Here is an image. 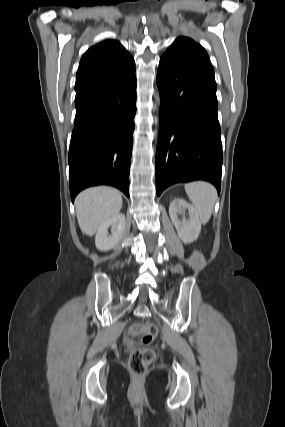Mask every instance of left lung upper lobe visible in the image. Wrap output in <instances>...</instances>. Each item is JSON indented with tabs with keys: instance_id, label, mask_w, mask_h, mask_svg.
Returning a JSON list of instances; mask_svg holds the SVG:
<instances>
[{
	"instance_id": "1",
	"label": "left lung upper lobe",
	"mask_w": 285,
	"mask_h": 427,
	"mask_svg": "<svg viewBox=\"0 0 285 427\" xmlns=\"http://www.w3.org/2000/svg\"><path fill=\"white\" fill-rule=\"evenodd\" d=\"M179 68L190 71L216 86L213 66L205 49L187 37H178L163 54Z\"/></svg>"
}]
</instances>
